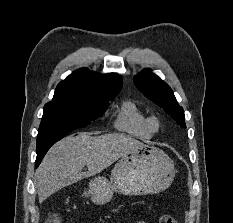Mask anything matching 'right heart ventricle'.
<instances>
[{
  "label": "right heart ventricle",
  "mask_w": 233,
  "mask_h": 223,
  "mask_svg": "<svg viewBox=\"0 0 233 223\" xmlns=\"http://www.w3.org/2000/svg\"><path fill=\"white\" fill-rule=\"evenodd\" d=\"M113 127L142 140H148L152 136L148 127V117L133 100H126L121 104L114 116Z\"/></svg>",
  "instance_id": "1"
}]
</instances>
